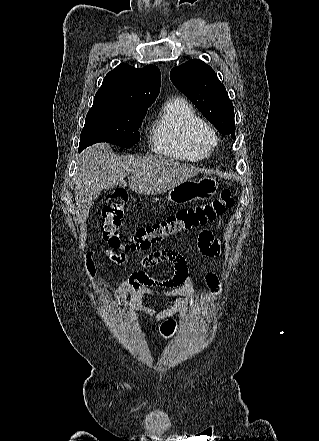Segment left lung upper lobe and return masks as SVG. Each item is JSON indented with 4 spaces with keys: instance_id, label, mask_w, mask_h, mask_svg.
I'll return each instance as SVG.
<instances>
[{
    "instance_id": "obj_1",
    "label": "left lung upper lobe",
    "mask_w": 319,
    "mask_h": 441,
    "mask_svg": "<svg viewBox=\"0 0 319 441\" xmlns=\"http://www.w3.org/2000/svg\"><path fill=\"white\" fill-rule=\"evenodd\" d=\"M170 79L221 134L235 139L234 108L215 71L201 60L193 59L174 67Z\"/></svg>"
}]
</instances>
